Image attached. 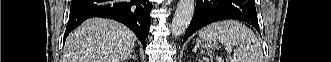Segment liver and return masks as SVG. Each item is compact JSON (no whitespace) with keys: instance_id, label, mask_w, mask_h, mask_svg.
<instances>
[{"instance_id":"1","label":"liver","mask_w":331,"mask_h":62,"mask_svg":"<svg viewBox=\"0 0 331 62\" xmlns=\"http://www.w3.org/2000/svg\"><path fill=\"white\" fill-rule=\"evenodd\" d=\"M135 41L123 24L91 18L68 36L63 62H122L131 55Z\"/></svg>"}]
</instances>
